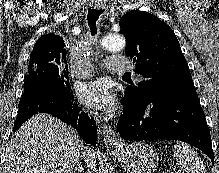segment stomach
Segmentation results:
<instances>
[{
	"label": "stomach",
	"instance_id": "0dacf381",
	"mask_svg": "<svg viewBox=\"0 0 219 173\" xmlns=\"http://www.w3.org/2000/svg\"><path fill=\"white\" fill-rule=\"evenodd\" d=\"M109 150L127 173H152L157 168L158 155L145 142L121 143Z\"/></svg>",
	"mask_w": 219,
	"mask_h": 173
}]
</instances>
